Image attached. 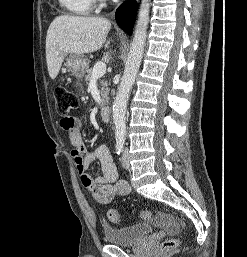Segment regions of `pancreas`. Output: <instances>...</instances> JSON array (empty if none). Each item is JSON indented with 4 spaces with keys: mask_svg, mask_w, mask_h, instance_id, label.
<instances>
[{
    "mask_svg": "<svg viewBox=\"0 0 247 257\" xmlns=\"http://www.w3.org/2000/svg\"><path fill=\"white\" fill-rule=\"evenodd\" d=\"M85 75V81L89 83L92 80V69H87ZM100 96H101V104L100 106L103 107L106 102H108V81L105 79L100 80Z\"/></svg>",
    "mask_w": 247,
    "mask_h": 257,
    "instance_id": "cf45deb5",
    "label": "pancreas"
}]
</instances>
